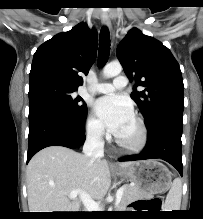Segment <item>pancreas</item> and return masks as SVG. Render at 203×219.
I'll return each instance as SVG.
<instances>
[{
  "label": "pancreas",
  "instance_id": "cf45deb5",
  "mask_svg": "<svg viewBox=\"0 0 203 219\" xmlns=\"http://www.w3.org/2000/svg\"><path fill=\"white\" fill-rule=\"evenodd\" d=\"M123 196L118 208H125L133 200L142 198L145 196L144 192L138 189L136 186L124 185Z\"/></svg>",
  "mask_w": 203,
  "mask_h": 219
}]
</instances>
